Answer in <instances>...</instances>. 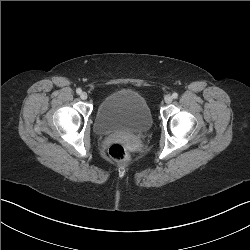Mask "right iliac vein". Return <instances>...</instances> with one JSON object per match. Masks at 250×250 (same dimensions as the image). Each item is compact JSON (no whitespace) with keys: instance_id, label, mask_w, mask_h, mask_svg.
Here are the masks:
<instances>
[{"instance_id":"right-iliac-vein-1","label":"right iliac vein","mask_w":250,"mask_h":250,"mask_svg":"<svg viewBox=\"0 0 250 250\" xmlns=\"http://www.w3.org/2000/svg\"><path fill=\"white\" fill-rule=\"evenodd\" d=\"M87 97H88V95H87L86 92H82V93L80 94V98H81L82 100H86Z\"/></svg>"}]
</instances>
